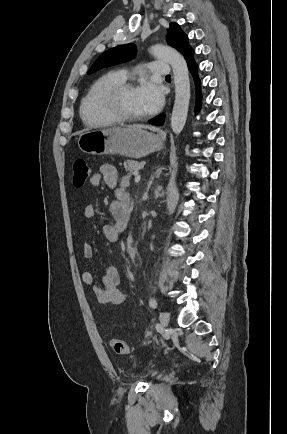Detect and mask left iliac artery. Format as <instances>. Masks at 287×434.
Wrapping results in <instances>:
<instances>
[{"label": "left iliac artery", "mask_w": 287, "mask_h": 434, "mask_svg": "<svg viewBox=\"0 0 287 434\" xmlns=\"http://www.w3.org/2000/svg\"><path fill=\"white\" fill-rule=\"evenodd\" d=\"M149 305H150V307H152V308L155 309L157 307V301H156V299L155 298H150Z\"/></svg>", "instance_id": "44dca946"}]
</instances>
